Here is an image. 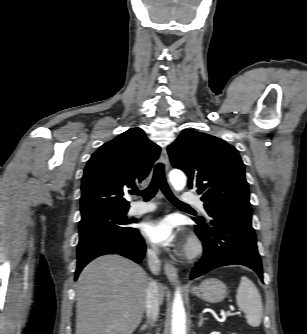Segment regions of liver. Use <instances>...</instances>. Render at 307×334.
<instances>
[{
    "mask_svg": "<svg viewBox=\"0 0 307 334\" xmlns=\"http://www.w3.org/2000/svg\"><path fill=\"white\" fill-rule=\"evenodd\" d=\"M150 278L120 255L91 261L76 284V334H132L143 317ZM165 287L159 284L161 303Z\"/></svg>",
    "mask_w": 307,
    "mask_h": 334,
    "instance_id": "6515ba94",
    "label": "liver"
}]
</instances>
